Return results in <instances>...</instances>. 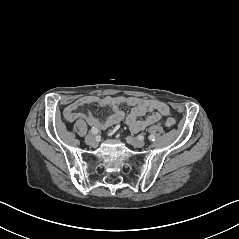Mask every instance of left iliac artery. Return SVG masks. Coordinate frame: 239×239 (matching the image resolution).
<instances>
[{"instance_id": "44dca946", "label": "left iliac artery", "mask_w": 239, "mask_h": 239, "mask_svg": "<svg viewBox=\"0 0 239 239\" xmlns=\"http://www.w3.org/2000/svg\"><path fill=\"white\" fill-rule=\"evenodd\" d=\"M148 139H149V141H154L155 140V136L151 134V135H149Z\"/></svg>"}]
</instances>
